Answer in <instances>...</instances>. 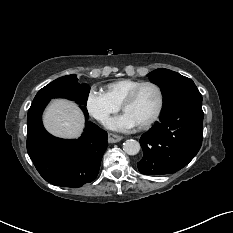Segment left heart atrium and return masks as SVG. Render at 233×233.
<instances>
[{
	"mask_svg": "<svg viewBox=\"0 0 233 233\" xmlns=\"http://www.w3.org/2000/svg\"><path fill=\"white\" fill-rule=\"evenodd\" d=\"M137 125L138 123L136 122V120L126 112L121 116L111 119L107 123L108 128L119 131H126Z\"/></svg>",
	"mask_w": 233,
	"mask_h": 233,
	"instance_id": "39dd6f15",
	"label": "left heart atrium"
}]
</instances>
